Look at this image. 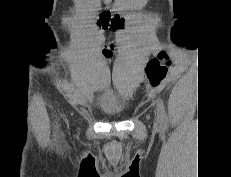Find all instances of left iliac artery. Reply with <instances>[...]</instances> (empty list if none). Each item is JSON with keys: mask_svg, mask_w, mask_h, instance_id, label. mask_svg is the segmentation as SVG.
Wrapping results in <instances>:
<instances>
[{"mask_svg": "<svg viewBox=\"0 0 231 177\" xmlns=\"http://www.w3.org/2000/svg\"><path fill=\"white\" fill-rule=\"evenodd\" d=\"M157 111H158V114L161 118V122H162L163 126L166 128L167 127V117H166V113H165L164 104H163L161 99L157 100Z\"/></svg>", "mask_w": 231, "mask_h": 177, "instance_id": "44dca946", "label": "left iliac artery"}]
</instances>
